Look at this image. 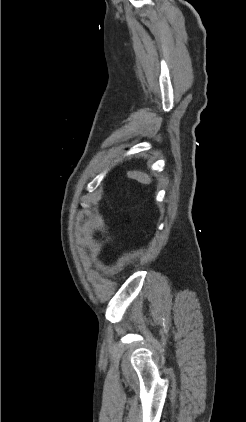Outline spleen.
Returning a JSON list of instances; mask_svg holds the SVG:
<instances>
[{
    "label": "spleen",
    "instance_id": "1",
    "mask_svg": "<svg viewBox=\"0 0 246 422\" xmlns=\"http://www.w3.org/2000/svg\"><path fill=\"white\" fill-rule=\"evenodd\" d=\"M127 176L131 179H135L142 184H150L151 178L148 174L141 171H127Z\"/></svg>",
    "mask_w": 246,
    "mask_h": 422
}]
</instances>
